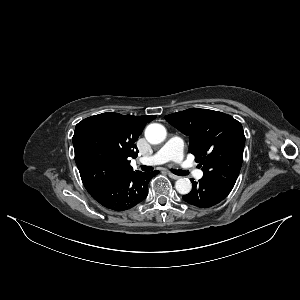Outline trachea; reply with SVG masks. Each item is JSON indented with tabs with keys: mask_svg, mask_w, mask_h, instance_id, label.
I'll return each instance as SVG.
<instances>
[{
	"mask_svg": "<svg viewBox=\"0 0 300 300\" xmlns=\"http://www.w3.org/2000/svg\"><path fill=\"white\" fill-rule=\"evenodd\" d=\"M141 169L145 172H150L152 171L154 168L152 166H146V165H143L141 166ZM171 172H173L175 175H179V176H185V175H188V171H185V170H173L171 169Z\"/></svg>",
	"mask_w": 300,
	"mask_h": 300,
	"instance_id": "trachea-1",
	"label": "trachea"
}]
</instances>
